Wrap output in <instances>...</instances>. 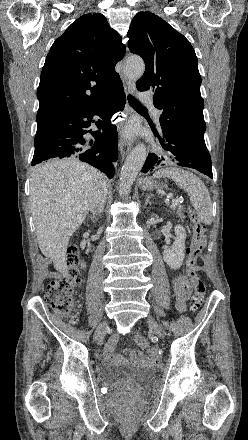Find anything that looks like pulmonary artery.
I'll use <instances>...</instances> for the list:
<instances>
[{
	"label": "pulmonary artery",
	"mask_w": 248,
	"mask_h": 440,
	"mask_svg": "<svg viewBox=\"0 0 248 440\" xmlns=\"http://www.w3.org/2000/svg\"><path fill=\"white\" fill-rule=\"evenodd\" d=\"M142 98L145 100V102L151 105V101L146 97V95L142 94ZM159 115L160 113L157 110H155L154 116L157 121L159 119Z\"/></svg>",
	"instance_id": "obj_1"
}]
</instances>
